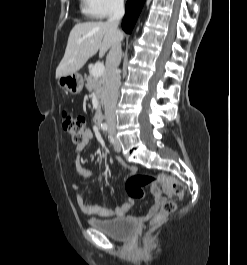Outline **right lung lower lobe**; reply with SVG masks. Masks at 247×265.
Returning <instances> with one entry per match:
<instances>
[{"label":"right lung lower lobe","instance_id":"1","mask_svg":"<svg viewBox=\"0 0 247 265\" xmlns=\"http://www.w3.org/2000/svg\"><path fill=\"white\" fill-rule=\"evenodd\" d=\"M144 1L145 0H128L126 3L125 16L122 21V28L126 33H131Z\"/></svg>","mask_w":247,"mask_h":265}]
</instances>
